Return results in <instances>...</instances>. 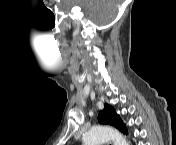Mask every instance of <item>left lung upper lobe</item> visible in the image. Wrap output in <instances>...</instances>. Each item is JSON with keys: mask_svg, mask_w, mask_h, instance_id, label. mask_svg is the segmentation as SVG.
I'll use <instances>...</instances> for the list:
<instances>
[{"mask_svg": "<svg viewBox=\"0 0 176 145\" xmlns=\"http://www.w3.org/2000/svg\"><path fill=\"white\" fill-rule=\"evenodd\" d=\"M98 122L101 124L112 125L120 131L127 133L125 125L119 115H117L114 108L108 104H105L104 109L99 113Z\"/></svg>", "mask_w": 176, "mask_h": 145, "instance_id": "left-lung-upper-lobe-1", "label": "left lung upper lobe"}]
</instances>
